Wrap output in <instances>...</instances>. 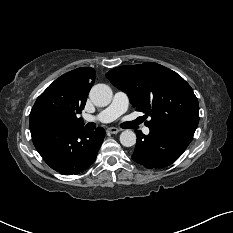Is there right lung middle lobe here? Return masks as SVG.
I'll return each mask as SVG.
<instances>
[{
  "mask_svg": "<svg viewBox=\"0 0 233 233\" xmlns=\"http://www.w3.org/2000/svg\"><path fill=\"white\" fill-rule=\"evenodd\" d=\"M40 126L47 129L61 128V126L55 119H47Z\"/></svg>",
  "mask_w": 233,
  "mask_h": 233,
  "instance_id": "obj_1",
  "label": "right lung middle lobe"
}]
</instances>
